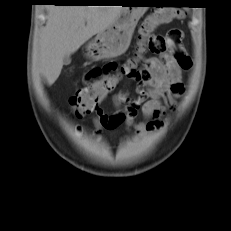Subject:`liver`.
I'll use <instances>...</instances> for the list:
<instances>
[{
	"label": "liver",
	"mask_w": 231,
	"mask_h": 231,
	"mask_svg": "<svg viewBox=\"0 0 231 231\" xmlns=\"http://www.w3.org/2000/svg\"><path fill=\"white\" fill-rule=\"evenodd\" d=\"M122 9V6L48 7L47 23L37 53L38 64L48 85L59 77L63 58L75 53L95 34L104 31Z\"/></svg>",
	"instance_id": "6515ba94"
}]
</instances>
